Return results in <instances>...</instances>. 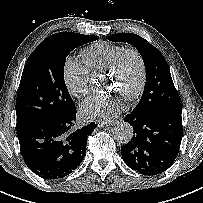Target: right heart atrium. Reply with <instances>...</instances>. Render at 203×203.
I'll list each match as a JSON object with an SVG mask.
<instances>
[{
    "label": "right heart atrium",
    "mask_w": 203,
    "mask_h": 203,
    "mask_svg": "<svg viewBox=\"0 0 203 203\" xmlns=\"http://www.w3.org/2000/svg\"><path fill=\"white\" fill-rule=\"evenodd\" d=\"M63 81L72 96L82 98L89 91L90 73L82 62L69 57L63 66Z\"/></svg>",
    "instance_id": "d8ad5b80"
}]
</instances>
